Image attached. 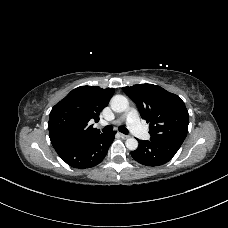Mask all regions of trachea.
I'll return each mask as SVG.
<instances>
[{"label":"trachea","mask_w":228,"mask_h":228,"mask_svg":"<svg viewBox=\"0 0 228 228\" xmlns=\"http://www.w3.org/2000/svg\"><path fill=\"white\" fill-rule=\"evenodd\" d=\"M102 131L104 133H108V132L112 131V126H105ZM119 131L122 132L123 134H128L129 133V131L123 126L119 127Z\"/></svg>","instance_id":"3493384b"}]
</instances>
